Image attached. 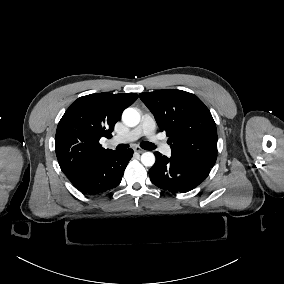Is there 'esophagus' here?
<instances>
[{"instance_id":"34e87169","label":"esophagus","mask_w":284,"mask_h":284,"mask_svg":"<svg viewBox=\"0 0 284 284\" xmlns=\"http://www.w3.org/2000/svg\"><path fill=\"white\" fill-rule=\"evenodd\" d=\"M133 150H134L135 152H138V153H143V152H145V150L142 149V148L139 147V146H134V147H133Z\"/></svg>"}]
</instances>
